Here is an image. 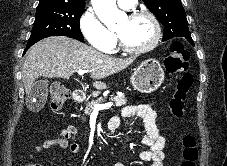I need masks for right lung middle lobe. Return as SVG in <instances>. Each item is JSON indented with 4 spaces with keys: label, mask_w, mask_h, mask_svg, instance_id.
Returning <instances> with one entry per match:
<instances>
[{
    "label": "right lung middle lobe",
    "mask_w": 227,
    "mask_h": 166,
    "mask_svg": "<svg viewBox=\"0 0 227 166\" xmlns=\"http://www.w3.org/2000/svg\"><path fill=\"white\" fill-rule=\"evenodd\" d=\"M84 8L69 6L37 7L28 44H35L49 36H67L84 41L80 31V17Z\"/></svg>",
    "instance_id": "dd1d6c3e"
}]
</instances>
